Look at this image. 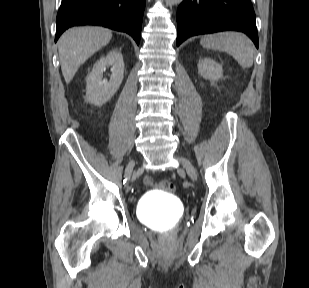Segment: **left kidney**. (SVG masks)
<instances>
[{"label":"left kidney","mask_w":309,"mask_h":288,"mask_svg":"<svg viewBox=\"0 0 309 288\" xmlns=\"http://www.w3.org/2000/svg\"><path fill=\"white\" fill-rule=\"evenodd\" d=\"M198 72L209 80H218L222 76V65L210 58L200 59L198 62Z\"/></svg>","instance_id":"5707ae66"}]
</instances>
